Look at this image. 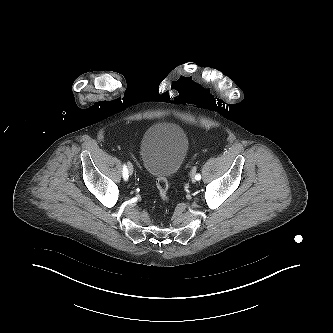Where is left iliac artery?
<instances>
[{
	"instance_id": "44dca946",
	"label": "left iliac artery",
	"mask_w": 333,
	"mask_h": 333,
	"mask_svg": "<svg viewBox=\"0 0 333 333\" xmlns=\"http://www.w3.org/2000/svg\"><path fill=\"white\" fill-rule=\"evenodd\" d=\"M195 178H196V180H200L201 179V175L199 174V173H197L196 175H195Z\"/></svg>"
}]
</instances>
